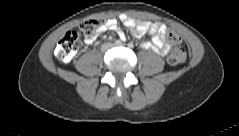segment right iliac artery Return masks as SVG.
I'll return each instance as SVG.
<instances>
[{
    "label": "right iliac artery",
    "instance_id": "82829eb1",
    "mask_svg": "<svg viewBox=\"0 0 239 136\" xmlns=\"http://www.w3.org/2000/svg\"><path fill=\"white\" fill-rule=\"evenodd\" d=\"M115 45H121V41L120 40H116L115 41Z\"/></svg>",
    "mask_w": 239,
    "mask_h": 136
}]
</instances>
